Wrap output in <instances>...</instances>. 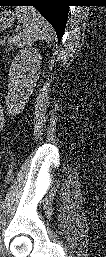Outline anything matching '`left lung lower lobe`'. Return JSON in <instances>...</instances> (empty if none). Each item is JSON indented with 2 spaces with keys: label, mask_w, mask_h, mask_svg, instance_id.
<instances>
[{
  "label": "left lung lower lobe",
  "mask_w": 106,
  "mask_h": 257,
  "mask_svg": "<svg viewBox=\"0 0 106 257\" xmlns=\"http://www.w3.org/2000/svg\"><path fill=\"white\" fill-rule=\"evenodd\" d=\"M0 6H34L53 26L60 43L67 22L70 0H0Z\"/></svg>",
  "instance_id": "left-lung-lower-lobe-1"
}]
</instances>
